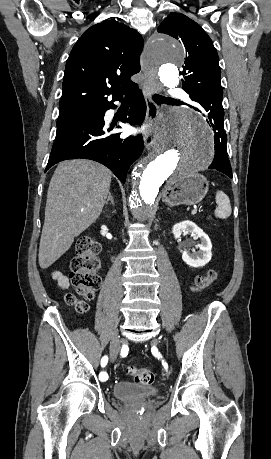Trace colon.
Masks as SVG:
<instances>
[{"label": "colon", "mask_w": 271, "mask_h": 459, "mask_svg": "<svg viewBox=\"0 0 271 459\" xmlns=\"http://www.w3.org/2000/svg\"><path fill=\"white\" fill-rule=\"evenodd\" d=\"M99 249V244L88 235L81 236L76 244V255L70 265V278L75 293L67 294L66 302L78 313H85L89 309L88 302L94 297L101 284L97 273L100 266ZM216 277V271H209L206 275L198 276L193 283L192 290L197 292L205 290L213 284ZM127 372L136 382L143 385H150L154 381V374L149 369L128 366Z\"/></svg>", "instance_id": "5ec220e1"}]
</instances>
